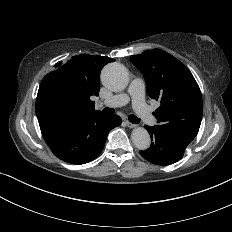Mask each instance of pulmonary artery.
<instances>
[{"label": "pulmonary artery", "instance_id": "e3ab8cb5", "mask_svg": "<svg viewBox=\"0 0 232 232\" xmlns=\"http://www.w3.org/2000/svg\"><path fill=\"white\" fill-rule=\"evenodd\" d=\"M146 88V79L142 75H135L131 79L130 91H125L120 96L116 97H106L102 102H97L99 106H123L129 100L132 99V108L145 120L147 124H152L154 122V115L144 105V100L142 99V91Z\"/></svg>", "mask_w": 232, "mask_h": 232}]
</instances>
